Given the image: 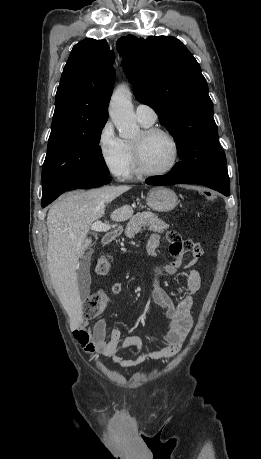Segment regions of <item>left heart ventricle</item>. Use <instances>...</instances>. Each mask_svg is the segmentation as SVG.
<instances>
[{
	"instance_id": "b2bd125f",
	"label": "left heart ventricle",
	"mask_w": 261,
	"mask_h": 459,
	"mask_svg": "<svg viewBox=\"0 0 261 459\" xmlns=\"http://www.w3.org/2000/svg\"><path fill=\"white\" fill-rule=\"evenodd\" d=\"M134 142L140 143L144 165L150 170H162L166 168L173 157V148L170 140L156 134L149 138H143L140 133Z\"/></svg>"
}]
</instances>
